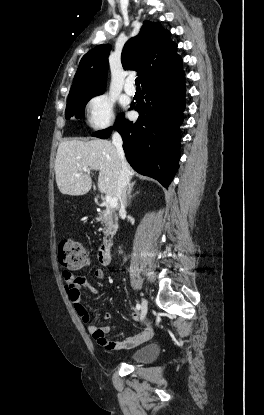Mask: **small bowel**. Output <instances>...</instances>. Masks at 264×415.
Segmentation results:
<instances>
[{
    "instance_id": "small-bowel-1",
    "label": "small bowel",
    "mask_w": 264,
    "mask_h": 415,
    "mask_svg": "<svg viewBox=\"0 0 264 415\" xmlns=\"http://www.w3.org/2000/svg\"><path fill=\"white\" fill-rule=\"evenodd\" d=\"M93 276L96 279H103L105 277V271L101 268H95L93 271ZM64 278V288L68 294L70 301L73 303L76 312L81 317L84 322H88L89 315L86 313L84 306L82 304V288L88 286L93 294H97L98 291L93 286H90L84 277L73 276L69 271H63ZM106 319H111L112 315L106 313L103 315ZM139 314L133 313L130 316V320L133 322L138 321ZM87 331L89 334L98 342V344L106 350L121 351L124 349H129L136 347L138 345L147 343L153 336V329L150 325L143 328L140 332L133 336L126 337L122 340H108L106 334L111 331L109 325H95L89 324L87 326Z\"/></svg>"
}]
</instances>
